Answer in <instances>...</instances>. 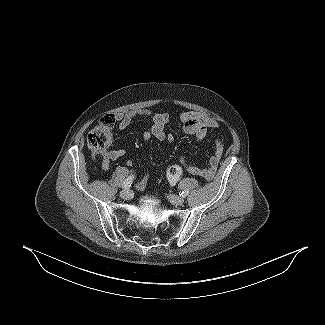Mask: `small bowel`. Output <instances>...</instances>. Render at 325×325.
Returning <instances> with one entry per match:
<instances>
[{
	"mask_svg": "<svg viewBox=\"0 0 325 325\" xmlns=\"http://www.w3.org/2000/svg\"><path fill=\"white\" fill-rule=\"evenodd\" d=\"M117 121V128L124 130L137 118H149L152 121L150 128L144 132V140H149L151 137L156 138L159 141H165L171 144L174 141L172 134L165 132V126L169 121V115L167 113L153 112L150 109H133L125 113H118L114 116ZM180 119L183 123V131L186 134L193 135L197 141H202L206 138L208 131L217 127V123L214 120L200 116L194 112H184L181 114ZM224 146L223 140L218 139L215 142V149L213 155L209 159L207 167H197L189 164L185 158H181V164L183 168L191 175L198 176L206 180H212L216 174L219 166L220 159L223 155ZM125 154L124 149L110 150L105 149L101 152V167L103 170H108L111 162L117 160ZM132 161H128V165H131ZM148 182V175L142 177L137 184V189L142 190L146 187Z\"/></svg>",
	"mask_w": 325,
	"mask_h": 325,
	"instance_id": "small-bowel-1",
	"label": "small bowel"
}]
</instances>
